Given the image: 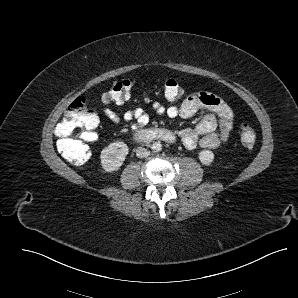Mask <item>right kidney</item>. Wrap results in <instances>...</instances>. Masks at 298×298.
Wrapping results in <instances>:
<instances>
[{"label":"right kidney","instance_id":"obj_1","mask_svg":"<svg viewBox=\"0 0 298 298\" xmlns=\"http://www.w3.org/2000/svg\"><path fill=\"white\" fill-rule=\"evenodd\" d=\"M128 154V147L124 142H113L101 151V162L107 172L118 169Z\"/></svg>","mask_w":298,"mask_h":298}]
</instances>
